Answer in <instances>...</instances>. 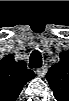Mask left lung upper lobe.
Listing matches in <instances>:
<instances>
[{
    "mask_svg": "<svg viewBox=\"0 0 69 101\" xmlns=\"http://www.w3.org/2000/svg\"><path fill=\"white\" fill-rule=\"evenodd\" d=\"M60 58V61L54 64L46 75L49 86L52 88L53 92H56L58 88H62L69 79L68 63L61 56Z\"/></svg>",
    "mask_w": 69,
    "mask_h": 101,
    "instance_id": "obj_1",
    "label": "left lung upper lobe"
}]
</instances>
